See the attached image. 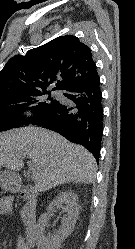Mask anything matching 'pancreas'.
Segmentation results:
<instances>
[{
  "instance_id": "cf45deb5",
  "label": "pancreas",
  "mask_w": 135,
  "mask_h": 249,
  "mask_svg": "<svg viewBox=\"0 0 135 249\" xmlns=\"http://www.w3.org/2000/svg\"><path fill=\"white\" fill-rule=\"evenodd\" d=\"M28 211H29V207H24L23 210L21 211V216L25 222L27 220Z\"/></svg>"
}]
</instances>
